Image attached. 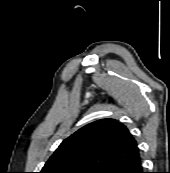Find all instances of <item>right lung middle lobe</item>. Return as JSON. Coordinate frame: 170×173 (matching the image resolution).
Masks as SVG:
<instances>
[{
    "instance_id": "dd1d6c3e",
    "label": "right lung middle lobe",
    "mask_w": 170,
    "mask_h": 173,
    "mask_svg": "<svg viewBox=\"0 0 170 173\" xmlns=\"http://www.w3.org/2000/svg\"><path fill=\"white\" fill-rule=\"evenodd\" d=\"M64 173H83V171L71 170V171H65Z\"/></svg>"
}]
</instances>
